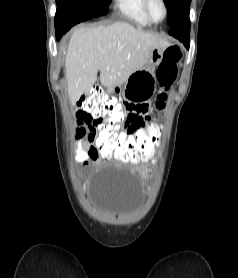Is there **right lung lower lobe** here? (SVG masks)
I'll list each match as a JSON object with an SVG mask.
<instances>
[{"instance_id":"right-lung-lower-lobe-1","label":"right lung lower lobe","mask_w":238,"mask_h":278,"mask_svg":"<svg viewBox=\"0 0 238 278\" xmlns=\"http://www.w3.org/2000/svg\"><path fill=\"white\" fill-rule=\"evenodd\" d=\"M88 20L86 13L74 5L57 6L55 15L56 38L59 40L73 25Z\"/></svg>"}]
</instances>
